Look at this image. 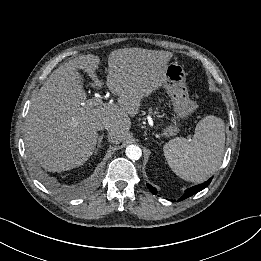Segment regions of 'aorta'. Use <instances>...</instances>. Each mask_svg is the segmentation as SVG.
<instances>
[{
	"mask_svg": "<svg viewBox=\"0 0 261 261\" xmlns=\"http://www.w3.org/2000/svg\"><path fill=\"white\" fill-rule=\"evenodd\" d=\"M126 155L130 160L136 161L140 159L142 151L137 145H129L126 148Z\"/></svg>",
	"mask_w": 261,
	"mask_h": 261,
	"instance_id": "aorta-1",
	"label": "aorta"
}]
</instances>
